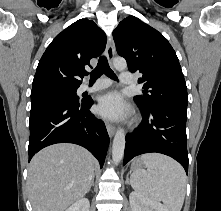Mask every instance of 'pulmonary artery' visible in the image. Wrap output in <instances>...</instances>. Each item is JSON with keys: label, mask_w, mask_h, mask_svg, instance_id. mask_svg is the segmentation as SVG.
I'll list each match as a JSON object with an SVG mask.
<instances>
[{"label": "pulmonary artery", "mask_w": 221, "mask_h": 211, "mask_svg": "<svg viewBox=\"0 0 221 211\" xmlns=\"http://www.w3.org/2000/svg\"><path fill=\"white\" fill-rule=\"evenodd\" d=\"M120 80L123 84H132L134 82V75L125 71L121 73ZM111 84L109 79H100L96 81L94 84H83L81 86V91H97L108 87Z\"/></svg>", "instance_id": "obj_1"}]
</instances>
